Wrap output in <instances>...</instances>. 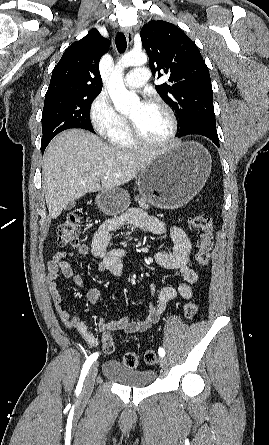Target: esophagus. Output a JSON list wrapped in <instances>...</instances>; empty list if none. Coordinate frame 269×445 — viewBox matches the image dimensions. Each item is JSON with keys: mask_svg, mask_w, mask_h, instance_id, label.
Segmentation results:
<instances>
[{"mask_svg": "<svg viewBox=\"0 0 269 445\" xmlns=\"http://www.w3.org/2000/svg\"><path fill=\"white\" fill-rule=\"evenodd\" d=\"M123 32H124V34H125V36L127 38V42L129 44H132V42H133V33H132V31L127 29V28H125V29H123Z\"/></svg>", "mask_w": 269, "mask_h": 445, "instance_id": "34e87169", "label": "esophagus"}]
</instances>
